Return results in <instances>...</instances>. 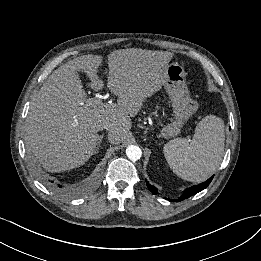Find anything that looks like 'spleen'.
<instances>
[{"label": "spleen", "mask_w": 261, "mask_h": 261, "mask_svg": "<svg viewBox=\"0 0 261 261\" xmlns=\"http://www.w3.org/2000/svg\"><path fill=\"white\" fill-rule=\"evenodd\" d=\"M224 122L215 115L204 117L189 142L176 138L163 147L173 172L184 180L202 182L219 167L224 154Z\"/></svg>", "instance_id": "spleen-1"}]
</instances>
